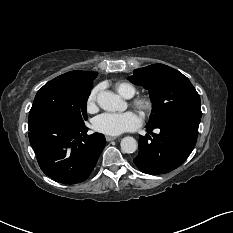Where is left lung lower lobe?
<instances>
[{"mask_svg":"<svg viewBox=\"0 0 233 233\" xmlns=\"http://www.w3.org/2000/svg\"><path fill=\"white\" fill-rule=\"evenodd\" d=\"M200 120L196 115H176L147 124L148 134L141 136L139 153L133 162L146 174H164L176 169L196 144ZM153 129H158V134Z\"/></svg>","mask_w":233,"mask_h":233,"instance_id":"0a47b994","label":"left lung lower lobe"}]
</instances>
